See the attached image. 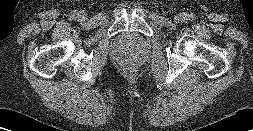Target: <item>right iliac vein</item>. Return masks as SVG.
Listing matches in <instances>:
<instances>
[{"label": "right iliac vein", "mask_w": 253, "mask_h": 131, "mask_svg": "<svg viewBox=\"0 0 253 131\" xmlns=\"http://www.w3.org/2000/svg\"><path fill=\"white\" fill-rule=\"evenodd\" d=\"M78 17H79L81 20H83V19H85L86 15H85L84 12H79V13H78Z\"/></svg>", "instance_id": "63e3f726"}]
</instances>
